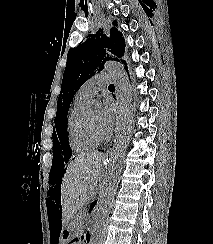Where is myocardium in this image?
I'll use <instances>...</instances> for the list:
<instances>
[{"mask_svg":"<svg viewBox=\"0 0 213 244\" xmlns=\"http://www.w3.org/2000/svg\"><path fill=\"white\" fill-rule=\"evenodd\" d=\"M87 125L89 128V131L91 133V135L98 141V142H105L109 140L110 134L109 133H105L102 134L100 133L92 124L91 120L89 119V117L87 116Z\"/></svg>","mask_w":213,"mask_h":244,"instance_id":"f54148a6","label":"myocardium"}]
</instances>
